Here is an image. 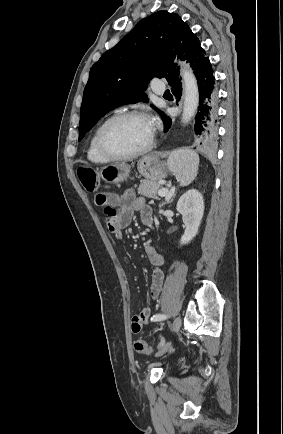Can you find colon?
Instances as JSON below:
<instances>
[{"mask_svg": "<svg viewBox=\"0 0 283 434\" xmlns=\"http://www.w3.org/2000/svg\"><path fill=\"white\" fill-rule=\"evenodd\" d=\"M77 174L81 184L88 192H93L97 189L98 175L94 169L89 167H82L78 169ZM134 349L136 352L146 355H151L154 352L153 348L148 346V344L141 339L135 341Z\"/></svg>", "mask_w": 283, "mask_h": 434, "instance_id": "1", "label": "colon"}]
</instances>
